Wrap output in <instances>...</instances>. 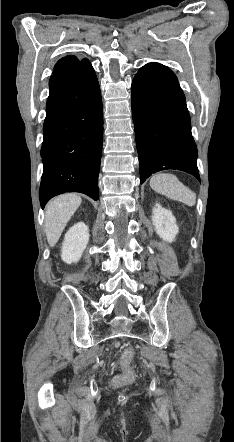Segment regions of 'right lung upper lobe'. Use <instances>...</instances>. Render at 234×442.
Returning a JSON list of instances; mask_svg holds the SVG:
<instances>
[{
	"label": "right lung upper lobe",
	"mask_w": 234,
	"mask_h": 442,
	"mask_svg": "<svg viewBox=\"0 0 234 442\" xmlns=\"http://www.w3.org/2000/svg\"><path fill=\"white\" fill-rule=\"evenodd\" d=\"M88 62L89 61L85 58L79 60L75 56H66V57L60 59L56 63V65L54 67L53 75H57V74H61V73L75 70L79 66H83V65L87 64Z\"/></svg>",
	"instance_id": "cb5924a9"
}]
</instances>
